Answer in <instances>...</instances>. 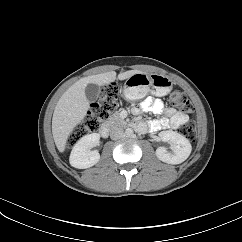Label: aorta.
Returning a JSON list of instances; mask_svg holds the SVG:
<instances>
[{
    "instance_id": "aorta-1",
    "label": "aorta",
    "mask_w": 242,
    "mask_h": 242,
    "mask_svg": "<svg viewBox=\"0 0 242 242\" xmlns=\"http://www.w3.org/2000/svg\"><path fill=\"white\" fill-rule=\"evenodd\" d=\"M124 135H125L126 137H128V138L133 137V135H134L133 129H131V128H127V129L125 130V132H124Z\"/></svg>"
}]
</instances>
